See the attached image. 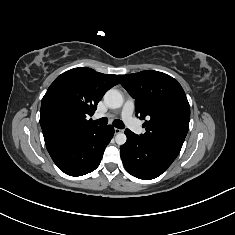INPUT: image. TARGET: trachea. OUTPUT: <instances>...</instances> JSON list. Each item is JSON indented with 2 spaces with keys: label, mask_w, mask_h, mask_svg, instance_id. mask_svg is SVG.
Instances as JSON below:
<instances>
[{
  "label": "trachea",
  "mask_w": 235,
  "mask_h": 235,
  "mask_svg": "<svg viewBox=\"0 0 235 235\" xmlns=\"http://www.w3.org/2000/svg\"><path fill=\"white\" fill-rule=\"evenodd\" d=\"M94 123L97 125H106L108 123V119L100 118V119L94 120ZM113 125L119 129H123L125 127L124 123L118 119L113 121Z\"/></svg>",
  "instance_id": "obj_1"
}]
</instances>
